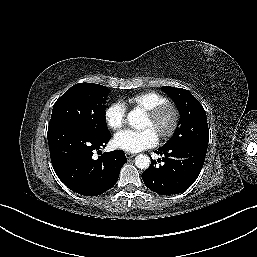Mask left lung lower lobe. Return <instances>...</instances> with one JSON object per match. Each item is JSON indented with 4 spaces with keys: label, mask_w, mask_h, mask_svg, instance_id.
Returning a JSON list of instances; mask_svg holds the SVG:
<instances>
[{
    "label": "left lung lower lobe",
    "mask_w": 257,
    "mask_h": 257,
    "mask_svg": "<svg viewBox=\"0 0 257 257\" xmlns=\"http://www.w3.org/2000/svg\"><path fill=\"white\" fill-rule=\"evenodd\" d=\"M207 149L199 146L161 147L156 151L163 154V165L150 167L142 173L145 185L161 195L184 192L197 179L203 167Z\"/></svg>",
    "instance_id": "left-lung-lower-lobe-1"
}]
</instances>
